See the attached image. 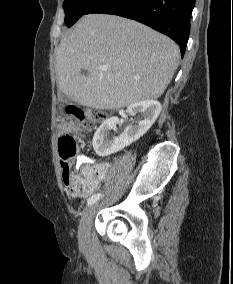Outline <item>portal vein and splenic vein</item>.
Segmentation results:
<instances>
[{
  "mask_svg": "<svg viewBox=\"0 0 233 284\" xmlns=\"http://www.w3.org/2000/svg\"><path fill=\"white\" fill-rule=\"evenodd\" d=\"M99 69L102 71H106L108 67L106 65L99 66Z\"/></svg>",
  "mask_w": 233,
  "mask_h": 284,
  "instance_id": "portal-vein-and-splenic-vein-1",
  "label": "portal vein and splenic vein"
}]
</instances>
